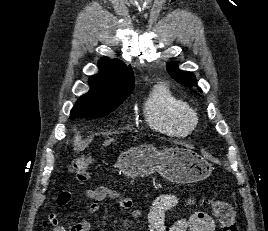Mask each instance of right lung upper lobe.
<instances>
[{
    "mask_svg": "<svg viewBox=\"0 0 268 231\" xmlns=\"http://www.w3.org/2000/svg\"><path fill=\"white\" fill-rule=\"evenodd\" d=\"M99 74L89 79L90 91L77 103H118L124 101L134 89V73L118 59L103 58L99 62Z\"/></svg>",
    "mask_w": 268,
    "mask_h": 231,
    "instance_id": "right-lung-upper-lobe-1",
    "label": "right lung upper lobe"
}]
</instances>
